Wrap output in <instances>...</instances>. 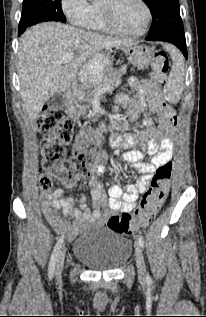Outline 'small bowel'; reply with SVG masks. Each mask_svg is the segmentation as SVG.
Wrapping results in <instances>:
<instances>
[{
    "instance_id": "obj_1",
    "label": "small bowel",
    "mask_w": 206,
    "mask_h": 317,
    "mask_svg": "<svg viewBox=\"0 0 206 317\" xmlns=\"http://www.w3.org/2000/svg\"><path fill=\"white\" fill-rule=\"evenodd\" d=\"M128 84L134 91L133 96L130 100L122 96L119 101L127 107L126 115L130 121L143 114L145 129L137 136L116 133L111 138V144L114 148L125 151L119 156V160L131 164L133 171L140 178L136 184H128L125 191L116 184L111 185L106 196L100 179L104 171L105 156L99 153L96 167L91 171L90 180L86 183L91 189V207L84 197H64L62 189L42 196L40 205L46 219L70 239L76 237L88 225L104 224L116 211H132L139 195L146 191L156 169L171 160L174 124L170 119L175 115L174 110L164 100L160 88L151 80L131 77ZM136 146L139 148L135 149ZM147 156H151L150 161H145ZM75 182L65 185L71 187Z\"/></svg>"
}]
</instances>
